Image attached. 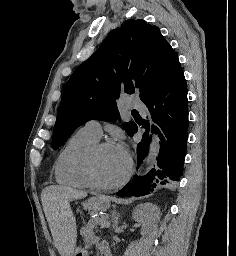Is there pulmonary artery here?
Here are the masks:
<instances>
[{
  "instance_id": "1",
  "label": "pulmonary artery",
  "mask_w": 236,
  "mask_h": 256,
  "mask_svg": "<svg viewBox=\"0 0 236 256\" xmlns=\"http://www.w3.org/2000/svg\"><path fill=\"white\" fill-rule=\"evenodd\" d=\"M132 106H138V110L140 112H145L146 111V107L144 104H141L140 101H132L131 102ZM87 134H89L90 136L94 137L95 139H97L98 141L101 139L102 136V127L101 124L96 121V120H91L88 121L82 128Z\"/></svg>"
}]
</instances>
